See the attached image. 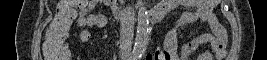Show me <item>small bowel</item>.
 I'll return each mask as SVG.
<instances>
[{
  "instance_id": "1",
  "label": "small bowel",
  "mask_w": 267,
  "mask_h": 60,
  "mask_svg": "<svg viewBox=\"0 0 267 60\" xmlns=\"http://www.w3.org/2000/svg\"><path fill=\"white\" fill-rule=\"evenodd\" d=\"M102 3L104 4L105 2L92 0L82 7H77V21L85 23V26L82 27L84 29L79 34L81 42H87L90 39L91 28L102 26L106 23L103 15L94 13L97 6ZM159 5L166 9L181 5L190 8V10L184 12L167 33L164 39V49L155 53H148L145 58L146 60H188L198 47L203 44H210L211 51L200 53L196 58L197 60H221L225 57L227 33L213 12L214 8L218 5L217 0H165ZM196 21L207 23L210 31L193 38L178 49L179 30L183 26Z\"/></svg>"
}]
</instances>
